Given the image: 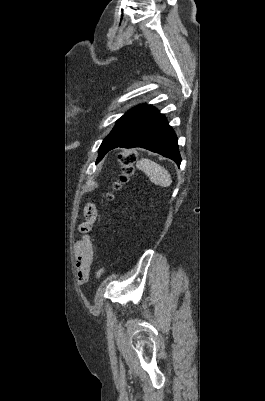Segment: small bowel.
Wrapping results in <instances>:
<instances>
[{"label":"small bowel","instance_id":"c3829d8e","mask_svg":"<svg viewBox=\"0 0 265 401\" xmlns=\"http://www.w3.org/2000/svg\"><path fill=\"white\" fill-rule=\"evenodd\" d=\"M84 221L79 225V231L82 234L76 245L77 270L80 282H85L90 274L94 248L88 232L97 219V208L94 203H87L84 207Z\"/></svg>","mask_w":265,"mask_h":401}]
</instances>
